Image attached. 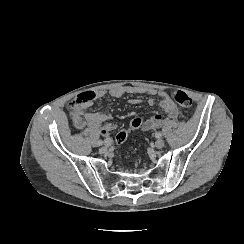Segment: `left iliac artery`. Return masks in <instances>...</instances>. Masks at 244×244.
<instances>
[{
	"label": "left iliac artery",
	"mask_w": 244,
	"mask_h": 244,
	"mask_svg": "<svg viewBox=\"0 0 244 244\" xmlns=\"http://www.w3.org/2000/svg\"><path fill=\"white\" fill-rule=\"evenodd\" d=\"M155 136H156L157 138H160L162 135H161L160 132H156Z\"/></svg>",
	"instance_id": "obj_1"
}]
</instances>
